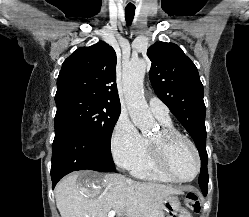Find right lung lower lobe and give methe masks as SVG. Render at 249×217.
Segmentation results:
<instances>
[{
	"label": "right lung lower lobe",
	"instance_id": "right-lung-lower-lobe-1",
	"mask_svg": "<svg viewBox=\"0 0 249 217\" xmlns=\"http://www.w3.org/2000/svg\"><path fill=\"white\" fill-rule=\"evenodd\" d=\"M113 171L109 149L88 137L81 129L66 120H55L52 145V187L66 174L78 170Z\"/></svg>",
	"mask_w": 249,
	"mask_h": 217
}]
</instances>
